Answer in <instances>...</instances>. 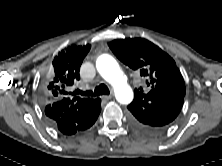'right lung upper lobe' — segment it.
<instances>
[{
  "label": "right lung upper lobe",
  "mask_w": 222,
  "mask_h": 166,
  "mask_svg": "<svg viewBox=\"0 0 222 166\" xmlns=\"http://www.w3.org/2000/svg\"><path fill=\"white\" fill-rule=\"evenodd\" d=\"M91 46L71 45L54 57L44 84V94L55 99L68 98L77 105L78 113L87 110L95 98L70 97L68 89L80 79L79 71L83 59Z\"/></svg>",
  "instance_id": "right-lung-upper-lobe-1"
}]
</instances>
